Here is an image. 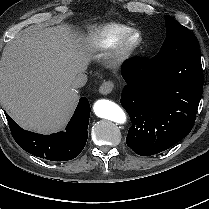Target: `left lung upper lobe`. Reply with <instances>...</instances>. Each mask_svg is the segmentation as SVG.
<instances>
[{
  "label": "left lung upper lobe",
  "instance_id": "5c2ea615",
  "mask_svg": "<svg viewBox=\"0 0 209 209\" xmlns=\"http://www.w3.org/2000/svg\"><path fill=\"white\" fill-rule=\"evenodd\" d=\"M167 37L159 53L151 58L154 61L170 60L189 51L198 50L199 46L190 30L182 26L169 15L165 16Z\"/></svg>",
  "mask_w": 209,
  "mask_h": 209
}]
</instances>
